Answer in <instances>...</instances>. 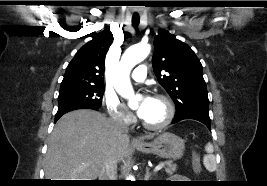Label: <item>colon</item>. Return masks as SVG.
<instances>
[{"label": "colon", "instance_id": "obj_1", "mask_svg": "<svg viewBox=\"0 0 267 186\" xmlns=\"http://www.w3.org/2000/svg\"><path fill=\"white\" fill-rule=\"evenodd\" d=\"M192 167L193 170L198 172L201 170V163H200V158L197 154L194 155L193 160H192Z\"/></svg>", "mask_w": 267, "mask_h": 186}]
</instances>
